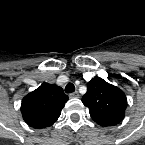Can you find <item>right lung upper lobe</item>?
<instances>
[{
	"label": "right lung upper lobe",
	"mask_w": 145,
	"mask_h": 145,
	"mask_svg": "<svg viewBox=\"0 0 145 145\" xmlns=\"http://www.w3.org/2000/svg\"><path fill=\"white\" fill-rule=\"evenodd\" d=\"M67 100L68 96L61 87L43 83L23 98L21 104L23 119L33 128L49 127L56 122Z\"/></svg>",
	"instance_id": "cb5924a9"
}]
</instances>
